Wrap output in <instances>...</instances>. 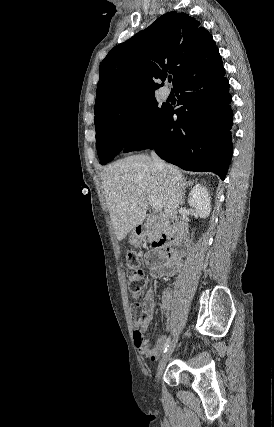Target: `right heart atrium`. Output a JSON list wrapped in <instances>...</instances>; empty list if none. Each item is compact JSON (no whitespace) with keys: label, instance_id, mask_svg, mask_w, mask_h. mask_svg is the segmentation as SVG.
I'll use <instances>...</instances> for the list:
<instances>
[{"label":"right heart atrium","instance_id":"1","mask_svg":"<svg viewBox=\"0 0 274 427\" xmlns=\"http://www.w3.org/2000/svg\"><path fill=\"white\" fill-rule=\"evenodd\" d=\"M125 131L132 142H141L148 135V116L144 111H133L128 114L125 122Z\"/></svg>","mask_w":274,"mask_h":427}]
</instances>
